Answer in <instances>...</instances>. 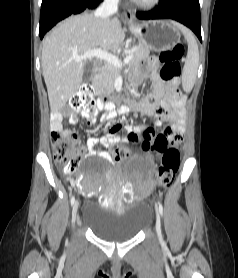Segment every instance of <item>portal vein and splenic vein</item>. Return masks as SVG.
<instances>
[{"instance_id": "1", "label": "portal vein and splenic vein", "mask_w": 238, "mask_h": 278, "mask_svg": "<svg viewBox=\"0 0 238 278\" xmlns=\"http://www.w3.org/2000/svg\"><path fill=\"white\" fill-rule=\"evenodd\" d=\"M92 57L104 60L108 64H111V65H113L117 68H122V66L128 64L132 59V55H128L124 58V60L122 62L115 55H112L111 53H109L107 51H103L101 49H94V50L87 51L81 56H74V59L76 61H81L83 59H89V58H92Z\"/></svg>"}]
</instances>
